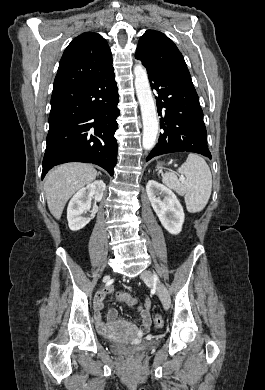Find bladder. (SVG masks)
Masks as SVG:
<instances>
[{"label": "bladder", "instance_id": "31cf9c89", "mask_svg": "<svg viewBox=\"0 0 265 390\" xmlns=\"http://www.w3.org/2000/svg\"><path fill=\"white\" fill-rule=\"evenodd\" d=\"M157 344H158L157 340H151L147 343H144V344H141L138 346H132V345L127 344V343L114 342L110 345V347H111V350L113 352L124 353V352H128L131 350H146V349H149L151 347L156 346Z\"/></svg>", "mask_w": 265, "mask_h": 390}]
</instances>
